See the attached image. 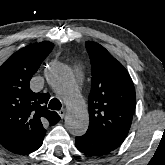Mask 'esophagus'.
I'll return each instance as SVG.
<instances>
[{
    "instance_id": "obj_1",
    "label": "esophagus",
    "mask_w": 165,
    "mask_h": 165,
    "mask_svg": "<svg viewBox=\"0 0 165 165\" xmlns=\"http://www.w3.org/2000/svg\"><path fill=\"white\" fill-rule=\"evenodd\" d=\"M58 114L60 115L61 118H64L65 117V114H66V111L65 110H60L58 112Z\"/></svg>"
}]
</instances>
